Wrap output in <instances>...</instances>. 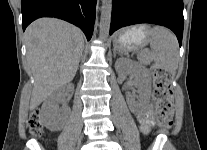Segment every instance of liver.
I'll return each mask as SVG.
<instances>
[{
	"label": "liver",
	"mask_w": 207,
	"mask_h": 150,
	"mask_svg": "<svg viewBox=\"0 0 207 150\" xmlns=\"http://www.w3.org/2000/svg\"><path fill=\"white\" fill-rule=\"evenodd\" d=\"M27 58L34 86L30 110L74 78L82 55L84 38L77 27L54 18H41L25 32Z\"/></svg>",
	"instance_id": "liver-1"
}]
</instances>
